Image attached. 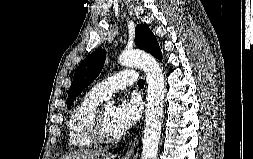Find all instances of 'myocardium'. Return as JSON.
I'll return each instance as SVG.
<instances>
[{
    "label": "myocardium",
    "mask_w": 253,
    "mask_h": 159,
    "mask_svg": "<svg viewBox=\"0 0 253 159\" xmlns=\"http://www.w3.org/2000/svg\"><path fill=\"white\" fill-rule=\"evenodd\" d=\"M103 107H98L95 115L93 117L92 123L90 125V135L95 143L100 145H113L119 142L122 138L121 135L111 137L109 136L104 127L103 115H102Z\"/></svg>",
    "instance_id": "f54148a6"
}]
</instances>
